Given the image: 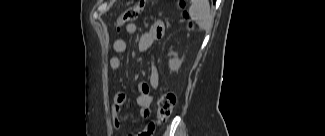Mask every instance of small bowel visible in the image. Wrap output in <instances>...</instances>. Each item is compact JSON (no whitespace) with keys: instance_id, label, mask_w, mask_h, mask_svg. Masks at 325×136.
Returning <instances> with one entry per match:
<instances>
[{"instance_id":"c3829d8e","label":"small bowel","mask_w":325,"mask_h":136,"mask_svg":"<svg viewBox=\"0 0 325 136\" xmlns=\"http://www.w3.org/2000/svg\"><path fill=\"white\" fill-rule=\"evenodd\" d=\"M137 25L135 23H129L124 25V31L128 35H134L137 32ZM165 33V26L163 23L159 22L151 27V29L143 33L138 41V48L140 51H147L151 45L161 39ZM113 50L116 54L125 53L127 50V43L125 40L118 38L113 42ZM109 66L112 71H119L122 67V60L119 56H113L109 60ZM159 74L157 67L154 62L151 65V72L149 82H144L137 87V105L140 108V114L143 118L148 119L151 115V105L153 102V93L158 85ZM126 101V93L124 91H118L114 96V103L112 106V122L115 128H120L122 123L120 120V112L122 105ZM155 130L154 123H149L142 131H140L138 136L144 133H149L151 136Z\"/></svg>"}]
</instances>
